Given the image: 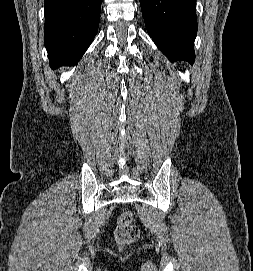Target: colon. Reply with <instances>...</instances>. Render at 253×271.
Masks as SVG:
<instances>
[{"label": "colon", "mask_w": 253, "mask_h": 271, "mask_svg": "<svg viewBox=\"0 0 253 271\" xmlns=\"http://www.w3.org/2000/svg\"><path fill=\"white\" fill-rule=\"evenodd\" d=\"M140 237L139 228L134 224V216L130 211H123L115 229V239L119 245L135 243Z\"/></svg>", "instance_id": "colon-1"}]
</instances>
